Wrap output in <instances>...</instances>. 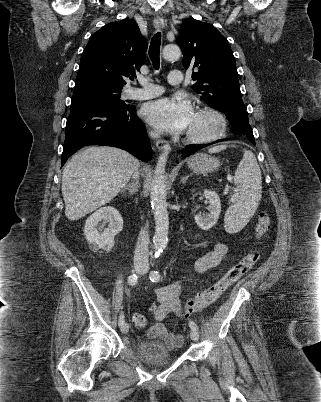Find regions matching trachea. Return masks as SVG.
Returning a JSON list of instances; mask_svg holds the SVG:
<instances>
[{
    "instance_id": "1",
    "label": "trachea",
    "mask_w": 321,
    "mask_h": 402,
    "mask_svg": "<svg viewBox=\"0 0 321 402\" xmlns=\"http://www.w3.org/2000/svg\"><path fill=\"white\" fill-rule=\"evenodd\" d=\"M160 45H161V33L157 32L153 36L149 47V56L156 70H158L160 67Z\"/></svg>"
}]
</instances>
